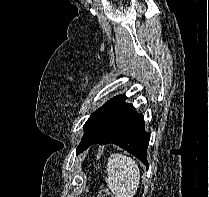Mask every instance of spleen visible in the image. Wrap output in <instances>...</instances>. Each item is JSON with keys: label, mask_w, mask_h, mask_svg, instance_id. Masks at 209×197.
<instances>
[{"label": "spleen", "mask_w": 209, "mask_h": 197, "mask_svg": "<svg viewBox=\"0 0 209 197\" xmlns=\"http://www.w3.org/2000/svg\"><path fill=\"white\" fill-rule=\"evenodd\" d=\"M105 181L115 197H133L140 184V170L136 162L115 153L108 158Z\"/></svg>", "instance_id": "spleen-1"}]
</instances>
